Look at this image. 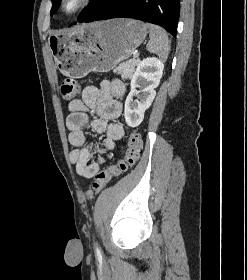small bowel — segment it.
Returning <instances> with one entry per match:
<instances>
[{
	"label": "small bowel",
	"instance_id": "small-bowel-1",
	"mask_svg": "<svg viewBox=\"0 0 247 280\" xmlns=\"http://www.w3.org/2000/svg\"><path fill=\"white\" fill-rule=\"evenodd\" d=\"M125 93L126 86L121 80H104L99 86L85 87L81 98L68 104V140L75 147L70 152V161L75 164L78 175L93 178L111 158L110 153L114 150L116 142L123 138L125 128L118 118L122 113L120 99ZM90 114L96 115L91 122ZM88 124L94 132L105 135L99 148L101 154L96 160H91L94 146L87 140L84 132Z\"/></svg>",
	"mask_w": 247,
	"mask_h": 280
}]
</instances>
